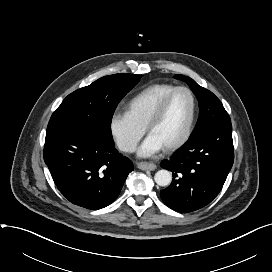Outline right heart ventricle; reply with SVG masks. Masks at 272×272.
<instances>
[{
    "label": "right heart ventricle",
    "mask_w": 272,
    "mask_h": 272,
    "mask_svg": "<svg viewBox=\"0 0 272 272\" xmlns=\"http://www.w3.org/2000/svg\"><path fill=\"white\" fill-rule=\"evenodd\" d=\"M177 86L153 84L136 93L126 104V112L140 126L146 128L147 122L163 97Z\"/></svg>",
    "instance_id": "obj_1"
}]
</instances>
